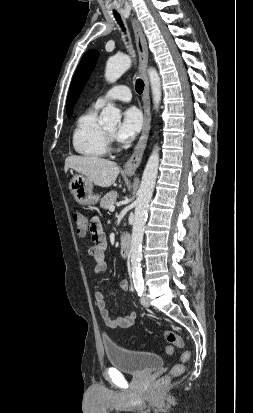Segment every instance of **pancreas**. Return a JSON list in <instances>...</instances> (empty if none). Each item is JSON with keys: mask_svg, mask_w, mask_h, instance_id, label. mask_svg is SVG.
<instances>
[{"mask_svg": "<svg viewBox=\"0 0 253 413\" xmlns=\"http://www.w3.org/2000/svg\"><path fill=\"white\" fill-rule=\"evenodd\" d=\"M117 199V193L115 191H111L107 193L100 202V207L103 209H109L110 205H114Z\"/></svg>", "mask_w": 253, "mask_h": 413, "instance_id": "obj_1", "label": "pancreas"}]
</instances>
